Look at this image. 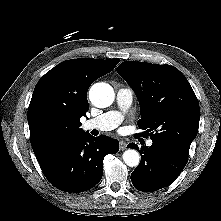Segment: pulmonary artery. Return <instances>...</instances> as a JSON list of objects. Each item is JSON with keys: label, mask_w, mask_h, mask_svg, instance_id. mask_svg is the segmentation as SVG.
<instances>
[{"label": "pulmonary artery", "mask_w": 221, "mask_h": 221, "mask_svg": "<svg viewBox=\"0 0 221 221\" xmlns=\"http://www.w3.org/2000/svg\"><path fill=\"white\" fill-rule=\"evenodd\" d=\"M132 99L133 91L131 88H120L116 94V101L119 109L108 111L97 116L96 118L85 121L82 125V128L85 131H110L115 129L122 122L123 114L130 107ZM147 145L151 146L152 141L148 140Z\"/></svg>", "instance_id": "obj_1"}]
</instances>
